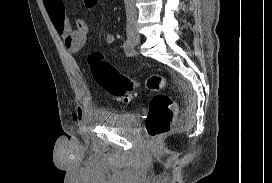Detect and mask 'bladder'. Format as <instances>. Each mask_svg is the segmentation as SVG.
I'll list each match as a JSON object with an SVG mask.
<instances>
[{"mask_svg":"<svg viewBox=\"0 0 272 183\" xmlns=\"http://www.w3.org/2000/svg\"><path fill=\"white\" fill-rule=\"evenodd\" d=\"M102 123L108 127L122 130H132L139 121V115L133 112L108 113L101 119Z\"/></svg>","mask_w":272,"mask_h":183,"instance_id":"obj_1","label":"bladder"}]
</instances>
